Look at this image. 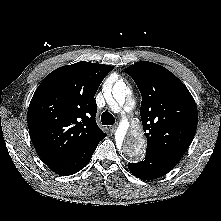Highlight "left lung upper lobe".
Listing matches in <instances>:
<instances>
[{
	"instance_id": "5c2ea615",
	"label": "left lung upper lobe",
	"mask_w": 221,
	"mask_h": 221,
	"mask_svg": "<svg viewBox=\"0 0 221 221\" xmlns=\"http://www.w3.org/2000/svg\"><path fill=\"white\" fill-rule=\"evenodd\" d=\"M142 95L140 115L146 152L178 162L196 133V103L187 87L166 68L147 61L125 69Z\"/></svg>"
}]
</instances>
